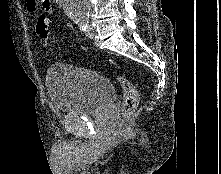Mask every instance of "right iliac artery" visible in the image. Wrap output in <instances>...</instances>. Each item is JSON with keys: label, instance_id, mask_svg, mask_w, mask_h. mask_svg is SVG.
Listing matches in <instances>:
<instances>
[{"label": "right iliac artery", "instance_id": "obj_1", "mask_svg": "<svg viewBox=\"0 0 221 174\" xmlns=\"http://www.w3.org/2000/svg\"><path fill=\"white\" fill-rule=\"evenodd\" d=\"M76 24H78L81 27L83 24V21H76Z\"/></svg>", "mask_w": 221, "mask_h": 174}]
</instances>
